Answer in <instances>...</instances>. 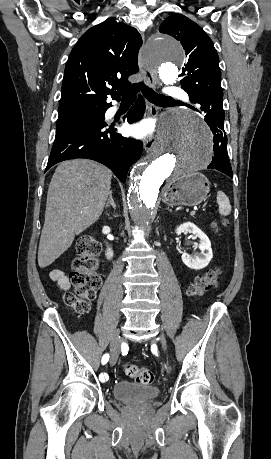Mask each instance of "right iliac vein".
Wrapping results in <instances>:
<instances>
[{
    "instance_id": "1",
    "label": "right iliac vein",
    "mask_w": 271,
    "mask_h": 459,
    "mask_svg": "<svg viewBox=\"0 0 271 459\" xmlns=\"http://www.w3.org/2000/svg\"><path fill=\"white\" fill-rule=\"evenodd\" d=\"M110 351H111L110 365L114 366L118 360L119 353H120V343H119L118 334H116L111 339Z\"/></svg>"
}]
</instances>
